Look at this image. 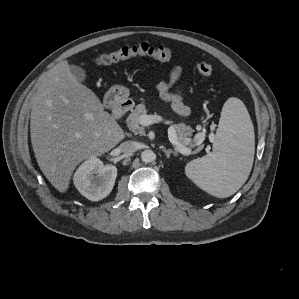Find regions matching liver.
Returning a JSON list of instances; mask_svg holds the SVG:
<instances>
[{
  "label": "liver",
  "instance_id": "6515ba94",
  "mask_svg": "<svg viewBox=\"0 0 299 299\" xmlns=\"http://www.w3.org/2000/svg\"><path fill=\"white\" fill-rule=\"evenodd\" d=\"M30 136L48 181L66 192L76 166L101 156L125 137L96 94L71 73L68 61L50 69L33 100Z\"/></svg>",
  "mask_w": 299,
  "mask_h": 299
}]
</instances>
